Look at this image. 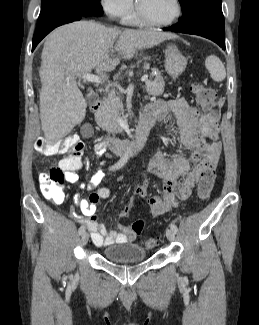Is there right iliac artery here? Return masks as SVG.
<instances>
[{
    "instance_id": "82829eb1",
    "label": "right iliac artery",
    "mask_w": 259,
    "mask_h": 325,
    "mask_svg": "<svg viewBox=\"0 0 259 325\" xmlns=\"http://www.w3.org/2000/svg\"><path fill=\"white\" fill-rule=\"evenodd\" d=\"M129 156H130V153H125L116 164H114L113 166L110 167V170L114 171V170H117V169H120L121 167H123L124 164L129 159ZM84 231H85V226L82 225L78 231L79 235H82L84 233Z\"/></svg>"
}]
</instances>
